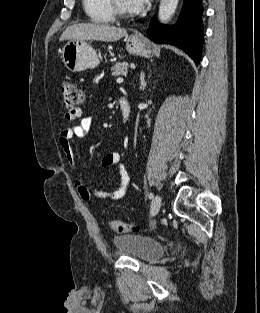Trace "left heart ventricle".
I'll list each match as a JSON object with an SVG mask.
<instances>
[{"label":"left heart ventricle","instance_id":"b2bd125f","mask_svg":"<svg viewBox=\"0 0 260 313\" xmlns=\"http://www.w3.org/2000/svg\"><path fill=\"white\" fill-rule=\"evenodd\" d=\"M118 6L125 12L131 13V10L129 9V6L126 2V0H117Z\"/></svg>","mask_w":260,"mask_h":313}]
</instances>
